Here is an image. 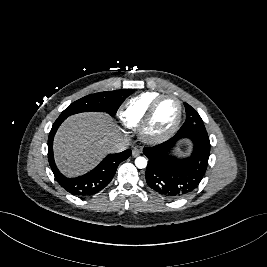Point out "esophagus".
<instances>
[{
    "instance_id": "34e87169",
    "label": "esophagus",
    "mask_w": 267,
    "mask_h": 267,
    "mask_svg": "<svg viewBox=\"0 0 267 267\" xmlns=\"http://www.w3.org/2000/svg\"><path fill=\"white\" fill-rule=\"evenodd\" d=\"M140 153H141L140 150H138V149H134V150L132 151V156H133V157H137V156L140 155Z\"/></svg>"
}]
</instances>
